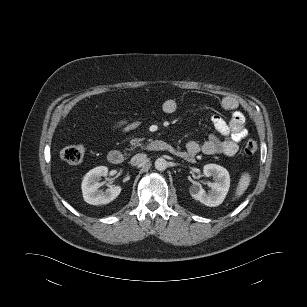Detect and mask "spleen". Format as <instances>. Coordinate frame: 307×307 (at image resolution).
Wrapping results in <instances>:
<instances>
[{
    "mask_svg": "<svg viewBox=\"0 0 307 307\" xmlns=\"http://www.w3.org/2000/svg\"><path fill=\"white\" fill-rule=\"evenodd\" d=\"M250 180L251 177L248 173L242 174L235 192L236 197H240L245 192V190L248 188L250 184Z\"/></svg>",
    "mask_w": 307,
    "mask_h": 307,
    "instance_id": "3e777b00",
    "label": "spleen"
}]
</instances>
